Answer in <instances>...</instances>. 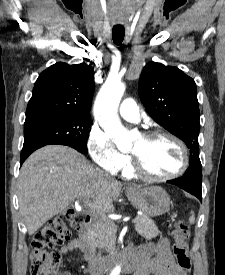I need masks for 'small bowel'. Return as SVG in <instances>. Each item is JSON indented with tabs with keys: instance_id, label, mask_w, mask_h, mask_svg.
<instances>
[{
	"instance_id": "c3829d8e",
	"label": "small bowel",
	"mask_w": 225,
	"mask_h": 275,
	"mask_svg": "<svg viewBox=\"0 0 225 275\" xmlns=\"http://www.w3.org/2000/svg\"><path fill=\"white\" fill-rule=\"evenodd\" d=\"M80 239L73 238L61 247V253L67 255L75 250H82ZM133 258L139 262L134 275H187L174 261L170 252L169 242L166 238L156 243L140 246L132 252ZM60 275H71L62 272Z\"/></svg>"
}]
</instances>
